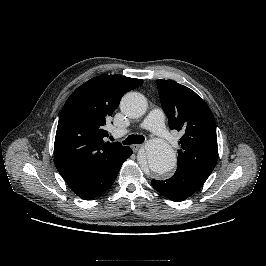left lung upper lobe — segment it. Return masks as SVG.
<instances>
[{"label": "left lung upper lobe", "mask_w": 266, "mask_h": 266, "mask_svg": "<svg viewBox=\"0 0 266 266\" xmlns=\"http://www.w3.org/2000/svg\"><path fill=\"white\" fill-rule=\"evenodd\" d=\"M157 88L169 127L182 131L177 170L206 181L217 163L215 119L208 105L191 89L158 80Z\"/></svg>", "instance_id": "obj_1"}]
</instances>
